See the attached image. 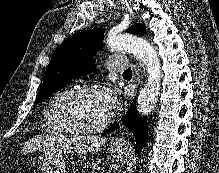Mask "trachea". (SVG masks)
I'll return each instance as SVG.
<instances>
[{"instance_id":"3493384b","label":"trachea","mask_w":219,"mask_h":173,"mask_svg":"<svg viewBox=\"0 0 219 173\" xmlns=\"http://www.w3.org/2000/svg\"><path fill=\"white\" fill-rule=\"evenodd\" d=\"M123 74L132 75V70H131V68H128Z\"/></svg>"}]
</instances>
